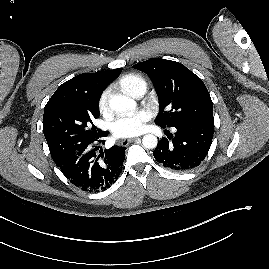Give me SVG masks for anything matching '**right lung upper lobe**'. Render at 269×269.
<instances>
[{
  "mask_svg": "<svg viewBox=\"0 0 269 269\" xmlns=\"http://www.w3.org/2000/svg\"><path fill=\"white\" fill-rule=\"evenodd\" d=\"M122 68L99 71L93 74H80L63 83L47 102L54 103L97 102L103 90L118 77Z\"/></svg>",
  "mask_w": 269,
  "mask_h": 269,
  "instance_id": "obj_1",
  "label": "right lung upper lobe"
}]
</instances>
